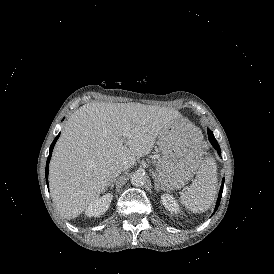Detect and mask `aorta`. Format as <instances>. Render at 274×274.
<instances>
[{
  "instance_id": "1",
  "label": "aorta",
  "mask_w": 274,
  "mask_h": 274,
  "mask_svg": "<svg viewBox=\"0 0 274 274\" xmlns=\"http://www.w3.org/2000/svg\"><path fill=\"white\" fill-rule=\"evenodd\" d=\"M147 182V178L146 176L141 173V172H134L132 175H131V183L132 185L134 186H143L144 184H146Z\"/></svg>"
}]
</instances>
